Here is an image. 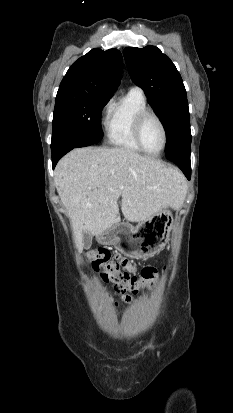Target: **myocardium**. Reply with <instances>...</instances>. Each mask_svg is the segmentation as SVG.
Returning a JSON list of instances; mask_svg holds the SVG:
<instances>
[{
    "label": "myocardium",
    "mask_w": 233,
    "mask_h": 413,
    "mask_svg": "<svg viewBox=\"0 0 233 413\" xmlns=\"http://www.w3.org/2000/svg\"><path fill=\"white\" fill-rule=\"evenodd\" d=\"M149 117H153L158 122V124L161 128V131H162V135H163L162 146L156 152L149 151L145 147V145L143 143V140H142V127H143L144 122L146 121V119L149 118ZM133 135H134V139H135L136 143L138 144V146L140 147V149L148 155L157 156V155L161 154L164 151V149L166 148L168 137H167V130H166L165 124L162 121V119L160 118V116L156 112H154L150 109H145L137 115V117L134 121V125H133Z\"/></svg>",
    "instance_id": "f54148a6"
}]
</instances>
